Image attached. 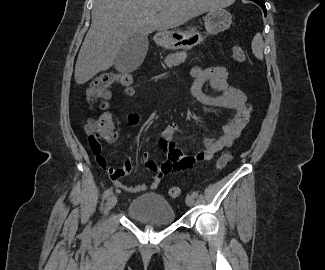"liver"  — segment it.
Returning a JSON list of instances; mask_svg holds the SVG:
<instances>
[{
    "instance_id": "obj_1",
    "label": "liver",
    "mask_w": 325,
    "mask_h": 270,
    "mask_svg": "<svg viewBox=\"0 0 325 270\" xmlns=\"http://www.w3.org/2000/svg\"><path fill=\"white\" fill-rule=\"evenodd\" d=\"M232 3L233 0H95L91 27L75 65L76 83L82 85L108 70L122 44L133 34L167 33L204 12Z\"/></svg>"
}]
</instances>
